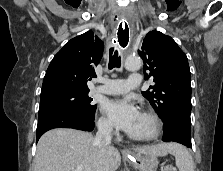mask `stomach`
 Masks as SVG:
<instances>
[{
    "instance_id": "stomach-1",
    "label": "stomach",
    "mask_w": 223,
    "mask_h": 171,
    "mask_svg": "<svg viewBox=\"0 0 223 171\" xmlns=\"http://www.w3.org/2000/svg\"><path fill=\"white\" fill-rule=\"evenodd\" d=\"M132 163L139 171H156L158 159L155 155L135 153L132 154Z\"/></svg>"
}]
</instances>
